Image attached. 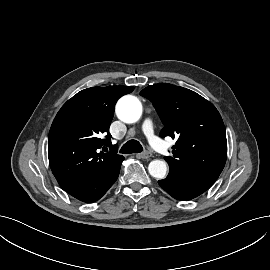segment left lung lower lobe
<instances>
[{
    "label": "left lung lower lobe",
    "instance_id": "0a47b994",
    "mask_svg": "<svg viewBox=\"0 0 270 270\" xmlns=\"http://www.w3.org/2000/svg\"><path fill=\"white\" fill-rule=\"evenodd\" d=\"M215 181L198 172L169 170L168 176L158 183L175 199L186 201L201 195Z\"/></svg>",
    "mask_w": 270,
    "mask_h": 270
}]
</instances>
